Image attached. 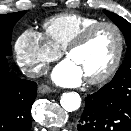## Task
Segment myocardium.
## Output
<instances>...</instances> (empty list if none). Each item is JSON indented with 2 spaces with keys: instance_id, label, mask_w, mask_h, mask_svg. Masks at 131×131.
<instances>
[{
  "instance_id": "obj_1",
  "label": "myocardium",
  "mask_w": 131,
  "mask_h": 131,
  "mask_svg": "<svg viewBox=\"0 0 131 131\" xmlns=\"http://www.w3.org/2000/svg\"><path fill=\"white\" fill-rule=\"evenodd\" d=\"M103 27H109L112 28L118 37V48L116 55L114 57V60L110 64V66L103 71L101 74L95 76V77H90V78H85V82L91 85H96L105 82L108 80L119 68L123 54H124V49H125V37L124 34L121 30V28L113 23V22H98L95 23L87 28H85L81 33H79L65 48L64 50V55L66 58L75 50L79 49L80 47L84 46L91 36L98 31L99 29Z\"/></svg>"
}]
</instances>
